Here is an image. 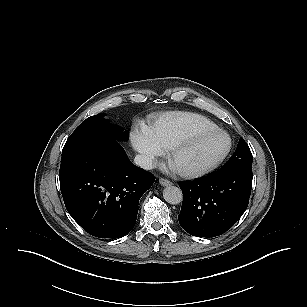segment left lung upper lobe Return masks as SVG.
<instances>
[{
	"mask_svg": "<svg viewBox=\"0 0 307 307\" xmlns=\"http://www.w3.org/2000/svg\"><path fill=\"white\" fill-rule=\"evenodd\" d=\"M229 170H252V153L243 138L230 159L217 172Z\"/></svg>",
	"mask_w": 307,
	"mask_h": 307,
	"instance_id": "1",
	"label": "left lung upper lobe"
}]
</instances>
